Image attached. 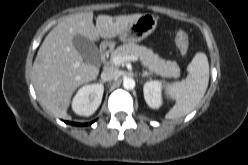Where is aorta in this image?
Segmentation results:
<instances>
[{"mask_svg":"<svg viewBox=\"0 0 248 165\" xmlns=\"http://www.w3.org/2000/svg\"><path fill=\"white\" fill-rule=\"evenodd\" d=\"M123 87L127 90H131L135 87V81L133 78H125L123 80Z\"/></svg>","mask_w":248,"mask_h":165,"instance_id":"1","label":"aorta"}]
</instances>
